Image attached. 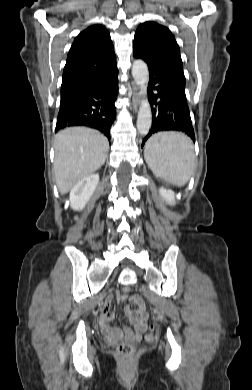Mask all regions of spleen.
Instances as JSON below:
<instances>
[{
    "label": "spleen",
    "mask_w": 252,
    "mask_h": 390,
    "mask_svg": "<svg viewBox=\"0 0 252 390\" xmlns=\"http://www.w3.org/2000/svg\"><path fill=\"white\" fill-rule=\"evenodd\" d=\"M144 157L155 176L177 186L189 180L195 159L191 140L177 132L153 135L146 144Z\"/></svg>",
    "instance_id": "spleen-1"
}]
</instances>
